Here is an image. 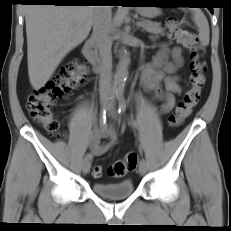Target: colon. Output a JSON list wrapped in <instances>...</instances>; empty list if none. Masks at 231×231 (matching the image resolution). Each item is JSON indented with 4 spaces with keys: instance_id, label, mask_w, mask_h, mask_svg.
<instances>
[{
    "instance_id": "5ec220e1",
    "label": "colon",
    "mask_w": 231,
    "mask_h": 231,
    "mask_svg": "<svg viewBox=\"0 0 231 231\" xmlns=\"http://www.w3.org/2000/svg\"><path fill=\"white\" fill-rule=\"evenodd\" d=\"M166 28L169 37L182 44L190 52V88L183 99L178 102L174 113L169 118V124L172 127H178L191 114L192 109L201 98V91L206 81V64L203 60L204 47L198 36L184 28L178 20L168 19ZM87 77L88 68L84 63L79 61L68 63L43 88L30 93L27 99L29 115L40 123L51 136L60 137V123L54 116L53 107L64 95L82 85ZM137 163V154L135 152L127 153L122 160L114 162L108 168V174L112 177H122L127 172L135 170ZM102 171L101 166H95L92 169L93 177H101Z\"/></svg>"
}]
</instances>
